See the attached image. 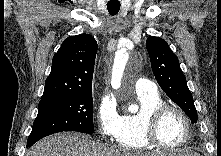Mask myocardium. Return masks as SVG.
<instances>
[{
	"instance_id": "f54148a6",
	"label": "myocardium",
	"mask_w": 221,
	"mask_h": 156,
	"mask_svg": "<svg viewBox=\"0 0 221 156\" xmlns=\"http://www.w3.org/2000/svg\"><path fill=\"white\" fill-rule=\"evenodd\" d=\"M174 111L176 112L184 121L185 128H186V134L184 140L181 142L180 145L176 147H169L164 145L159 137H158V129L160 122L164 115L169 112ZM144 135L147 142L153 146L154 148L168 151V152H174L178 151L182 148H184L188 142L190 141L191 135H192V126L191 121L187 114L178 106L172 105V104H166L163 103L156 108H154L147 116L144 126Z\"/></svg>"
}]
</instances>
